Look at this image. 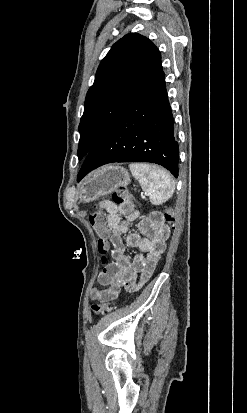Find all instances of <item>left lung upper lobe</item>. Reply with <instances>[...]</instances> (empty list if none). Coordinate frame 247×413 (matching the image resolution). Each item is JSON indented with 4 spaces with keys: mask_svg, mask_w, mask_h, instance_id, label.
Instances as JSON below:
<instances>
[{
    "mask_svg": "<svg viewBox=\"0 0 247 413\" xmlns=\"http://www.w3.org/2000/svg\"><path fill=\"white\" fill-rule=\"evenodd\" d=\"M161 54L146 37L129 33L101 61L81 117L78 157L84 158L112 122L161 71Z\"/></svg>",
    "mask_w": 247,
    "mask_h": 413,
    "instance_id": "obj_1",
    "label": "left lung upper lobe"
}]
</instances>
